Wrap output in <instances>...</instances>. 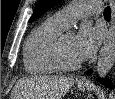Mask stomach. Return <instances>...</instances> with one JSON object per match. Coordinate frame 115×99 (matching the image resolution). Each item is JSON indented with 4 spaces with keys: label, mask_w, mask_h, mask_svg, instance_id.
I'll use <instances>...</instances> for the list:
<instances>
[{
    "label": "stomach",
    "mask_w": 115,
    "mask_h": 99,
    "mask_svg": "<svg viewBox=\"0 0 115 99\" xmlns=\"http://www.w3.org/2000/svg\"><path fill=\"white\" fill-rule=\"evenodd\" d=\"M79 90H85L86 85H78Z\"/></svg>",
    "instance_id": "1"
}]
</instances>
